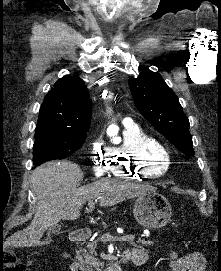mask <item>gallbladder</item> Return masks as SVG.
<instances>
[{"mask_svg":"<svg viewBox=\"0 0 221 271\" xmlns=\"http://www.w3.org/2000/svg\"><path fill=\"white\" fill-rule=\"evenodd\" d=\"M60 229L61 225H58V223H56V225H50V227H48L46 231V239H48V241H51L52 233H59Z\"/></svg>","mask_w":221,"mask_h":271,"instance_id":"bac80fb5","label":"gallbladder"}]
</instances>
